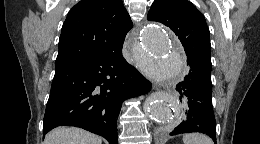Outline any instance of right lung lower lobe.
Segmentation results:
<instances>
[{
    "instance_id": "98d812e1",
    "label": "right lung lower lobe",
    "mask_w": 260,
    "mask_h": 144,
    "mask_svg": "<svg viewBox=\"0 0 260 144\" xmlns=\"http://www.w3.org/2000/svg\"><path fill=\"white\" fill-rule=\"evenodd\" d=\"M151 83L123 57L122 50L56 68L43 134L60 125L83 128L118 144L122 102L150 91Z\"/></svg>"
}]
</instances>
